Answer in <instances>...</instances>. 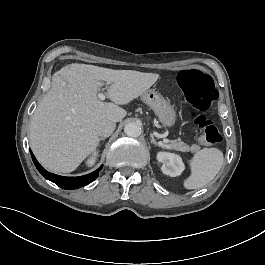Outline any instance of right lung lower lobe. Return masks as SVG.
Here are the masks:
<instances>
[{
    "mask_svg": "<svg viewBox=\"0 0 265 265\" xmlns=\"http://www.w3.org/2000/svg\"><path fill=\"white\" fill-rule=\"evenodd\" d=\"M33 162L36 166V168L38 169V171L48 180H50L51 182L55 183L56 185H58L59 187L63 188V189H77L80 188L82 186H85L89 183H91L92 181H94L97 177H98V173L101 171V169L103 168V165L100 166L99 169H97L96 171L84 175V176H80V177H63V176H58L52 173L47 172L36 160L35 156L33 155L32 151L30 150Z\"/></svg>",
    "mask_w": 265,
    "mask_h": 265,
    "instance_id": "1",
    "label": "right lung lower lobe"
}]
</instances>
